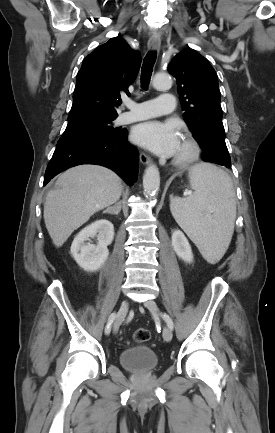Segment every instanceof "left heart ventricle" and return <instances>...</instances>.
I'll return each instance as SVG.
<instances>
[{"label": "left heart ventricle", "mask_w": 275, "mask_h": 433, "mask_svg": "<svg viewBox=\"0 0 275 433\" xmlns=\"http://www.w3.org/2000/svg\"><path fill=\"white\" fill-rule=\"evenodd\" d=\"M185 150H186V145H185L183 139L181 138V139H180V142H179V145H178L177 152H176L175 155H176V156L181 155L182 153L185 152Z\"/></svg>", "instance_id": "obj_1"}]
</instances>
